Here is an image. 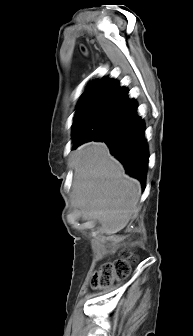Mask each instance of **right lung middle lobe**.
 Instances as JSON below:
<instances>
[{"label": "right lung middle lobe", "instance_id": "right-lung-middle-lobe-1", "mask_svg": "<svg viewBox=\"0 0 193 336\" xmlns=\"http://www.w3.org/2000/svg\"><path fill=\"white\" fill-rule=\"evenodd\" d=\"M114 108L103 111L97 118L88 121H82L80 125L73 126V136H81L85 139H93L104 128Z\"/></svg>", "mask_w": 193, "mask_h": 336}]
</instances>
